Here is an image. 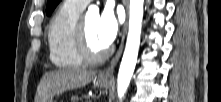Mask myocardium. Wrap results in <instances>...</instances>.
<instances>
[{
    "mask_svg": "<svg viewBox=\"0 0 221 102\" xmlns=\"http://www.w3.org/2000/svg\"><path fill=\"white\" fill-rule=\"evenodd\" d=\"M76 46L82 60L89 64H97L102 62L110 54V48L106 47L100 51H93L89 45L84 18L80 17L77 32Z\"/></svg>",
    "mask_w": 221,
    "mask_h": 102,
    "instance_id": "myocardium-1",
    "label": "myocardium"
}]
</instances>
